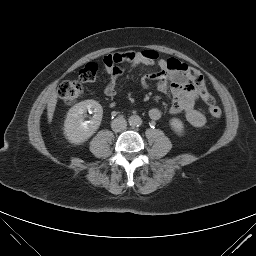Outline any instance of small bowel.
Masks as SVG:
<instances>
[{"label":"small bowel","mask_w":256,"mask_h":256,"mask_svg":"<svg viewBox=\"0 0 256 256\" xmlns=\"http://www.w3.org/2000/svg\"><path fill=\"white\" fill-rule=\"evenodd\" d=\"M150 52L152 51L116 53L115 55L119 59L118 66L113 69L105 68L109 76L104 89L105 95L108 97L116 95L117 81L124 73V69L121 66L122 63H128L131 67L156 65L158 71L145 76L142 80V85L148 88L151 83H154L158 91L172 94L173 101L169 109L170 114L178 115L183 113L186 120L194 127L205 125V115L195 109L198 92L185 72V68L188 66L174 58L158 59L157 55L150 56ZM148 115L152 120H159L162 113L158 108H151L148 111Z\"/></svg>","instance_id":"small-bowel-1"}]
</instances>
